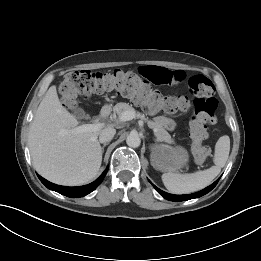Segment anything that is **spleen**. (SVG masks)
<instances>
[{"instance_id":"obj_1","label":"spleen","mask_w":261,"mask_h":261,"mask_svg":"<svg viewBox=\"0 0 261 261\" xmlns=\"http://www.w3.org/2000/svg\"><path fill=\"white\" fill-rule=\"evenodd\" d=\"M229 151L230 138L224 135L218 139L215 145L214 166L189 174L164 173L162 175L164 186L173 194H189L207 187L220 173L221 168L225 166Z\"/></svg>"}]
</instances>
